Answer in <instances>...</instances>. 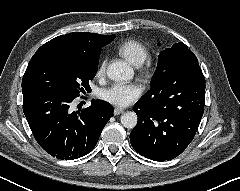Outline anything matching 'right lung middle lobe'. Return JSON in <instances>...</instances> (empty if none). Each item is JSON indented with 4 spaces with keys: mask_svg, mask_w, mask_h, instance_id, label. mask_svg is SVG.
Returning a JSON list of instances; mask_svg holds the SVG:
<instances>
[{
    "mask_svg": "<svg viewBox=\"0 0 240 191\" xmlns=\"http://www.w3.org/2000/svg\"><path fill=\"white\" fill-rule=\"evenodd\" d=\"M99 58H81L44 53L32 58L22 79V90L40 89L76 98L90 88Z\"/></svg>",
    "mask_w": 240,
    "mask_h": 191,
    "instance_id": "1",
    "label": "right lung middle lobe"
}]
</instances>
